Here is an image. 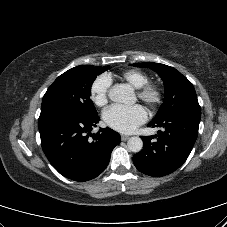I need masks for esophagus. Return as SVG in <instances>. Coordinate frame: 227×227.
Instances as JSON below:
<instances>
[{
    "label": "esophagus",
    "mask_w": 227,
    "mask_h": 227,
    "mask_svg": "<svg viewBox=\"0 0 227 227\" xmlns=\"http://www.w3.org/2000/svg\"><path fill=\"white\" fill-rule=\"evenodd\" d=\"M130 137L127 135H121V140L122 141H127Z\"/></svg>",
    "instance_id": "1"
}]
</instances>
